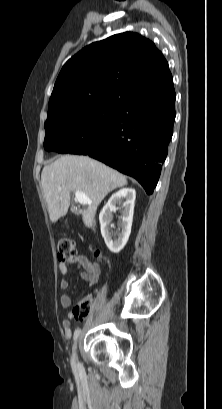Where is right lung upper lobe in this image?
Wrapping results in <instances>:
<instances>
[{"label": "right lung upper lobe", "mask_w": 222, "mask_h": 409, "mask_svg": "<svg viewBox=\"0 0 222 409\" xmlns=\"http://www.w3.org/2000/svg\"><path fill=\"white\" fill-rule=\"evenodd\" d=\"M168 63L155 44L134 32L94 42L63 66L48 113L74 104L125 101L166 92Z\"/></svg>", "instance_id": "1"}]
</instances>
